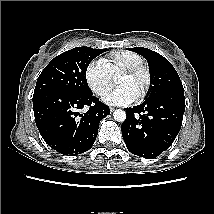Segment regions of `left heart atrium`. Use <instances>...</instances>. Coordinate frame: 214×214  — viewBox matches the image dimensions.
<instances>
[{
	"label": "left heart atrium",
	"mask_w": 214,
	"mask_h": 214,
	"mask_svg": "<svg viewBox=\"0 0 214 214\" xmlns=\"http://www.w3.org/2000/svg\"><path fill=\"white\" fill-rule=\"evenodd\" d=\"M137 95L126 86H119L107 93L104 101L109 105L123 106L133 103L137 99Z\"/></svg>",
	"instance_id": "left-heart-atrium-1"
}]
</instances>
